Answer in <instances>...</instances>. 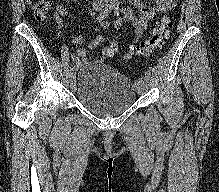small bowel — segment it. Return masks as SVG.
Wrapping results in <instances>:
<instances>
[{
    "label": "small bowel",
    "instance_id": "obj_1",
    "mask_svg": "<svg viewBox=\"0 0 219 192\" xmlns=\"http://www.w3.org/2000/svg\"><path fill=\"white\" fill-rule=\"evenodd\" d=\"M129 1L133 7L121 8L120 12L124 20L134 24L137 39L147 30L150 22H152L156 17L163 15L176 7L175 0H152L153 7L146 6L143 0ZM135 9L140 12V16L135 14ZM67 15L68 10L66 7L62 4H57L55 8V19L61 28L63 27L62 18ZM103 24L106 25L105 23ZM104 41L105 38L102 35H98L90 39L82 36H75L71 38L70 43L72 44H85V48L78 49L71 55L72 61L75 62L77 66L89 63L91 58L88 56V50L98 48Z\"/></svg>",
    "mask_w": 219,
    "mask_h": 192
}]
</instances>
